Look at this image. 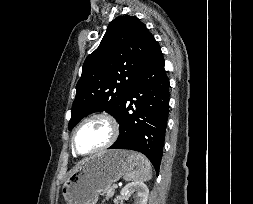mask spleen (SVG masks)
Masks as SVG:
<instances>
[{
  "label": "spleen",
  "mask_w": 253,
  "mask_h": 204,
  "mask_svg": "<svg viewBox=\"0 0 253 204\" xmlns=\"http://www.w3.org/2000/svg\"><path fill=\"white\" fill-rule=\"evenodd\" d=\"M137 168L124 175L126 181H148L152 177L151 164L146 157L136 154Z\"/></svg>",
  "instance_id": "spleen-1"
}]
</instances>
